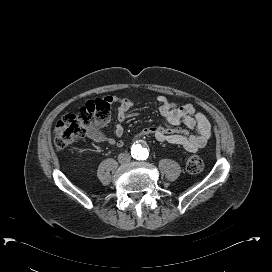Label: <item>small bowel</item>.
I'll return each instance as SVG.
<instances>
[{
    "label": "small bowel",
    "instance_id": "c3829d8e",
    "mask_svg": "<svg viewBox=\"0 0 272 272\" xmlns=\"http://www.w3.org/2000/svg\"><path fill=\"white\" fill-rule=\"evenodd\" d=\"M106 99L110 103L118 104L116 137H110L95 128L89 131L88 136L96 143L122 147L124 145L122 139L124 128L121 123L129 116L135 115L129 112L134 104L128 98L115 95H108ZM157 100L160 103L159 112L164 118L165 124L143 129L140 134L134 137L136 140L142 136H152L161 143L179 145L190 153H195L206 145L211 134V125L203 113L196 111L191 104L178 105L175 102H170L163 94L157 95ZM180 124H184L189 129L195 128L197 134L192 135L186 130L179 129L177 126Z\"/></svg>",
    "mask_w": 272,
    "mask_h": 272
}]
</instances>
